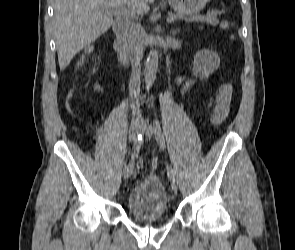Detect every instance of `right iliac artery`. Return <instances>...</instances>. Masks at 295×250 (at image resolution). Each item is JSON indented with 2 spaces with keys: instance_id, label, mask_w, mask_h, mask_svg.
<instances>
[{
  "instance_id": "1",
  "label": "right iliac artery",
  "mask_w": 295,
  "mask_h": 250,
  "mask_svg": "<svg viewBox=\"0 0 295 250\" xmlns=\"http://www.w3.org/2000/svg\"><path fill=\"white\" fill-rule=\"evenodd\" d=\"M143 137L141 134L138 135V137L136 138V143H135V147H133V153L131 155V160L128 164L125 165V169L132 171L133 167H134V158L136 156V154H141V149L142 148V143H139L140 141H142Z\"/></svg>"
}]
</instances>
